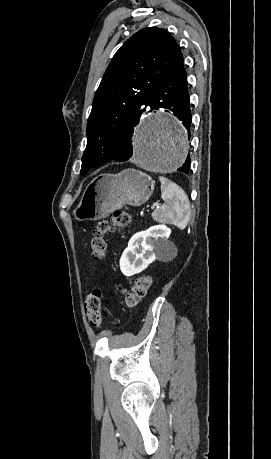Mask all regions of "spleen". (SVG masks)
Wrapping results in <instances>:
<instances>
[{"label": "spleen", "instance_id": "obj_1", "mask_svg": "<svg viewBox=\"0 0 271 459\" xmlns=\"http://www.w3.org/2000/svg\"><path fill=\"white\" fill-rule=\"evenodd\" d=\"M161 182V198L165 204L154 210L153 216L162 224H174L179 229L186 228L189 222L190 206H187V196L177 184L159 176Z\"/></svg>", "mask_w": 271, "mask_h": 459}]
</instances>
